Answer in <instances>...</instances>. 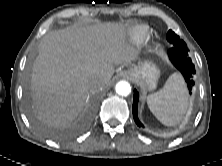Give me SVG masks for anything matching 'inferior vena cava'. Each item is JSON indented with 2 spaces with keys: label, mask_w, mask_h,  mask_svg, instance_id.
<instances>
[{
  "label": "inferior vena cava",
  "mask_w": 222,
  "mask_h": 166,
  "mask_svg": "<svg viewBox=\"0 0 222 166\" xmlns=\"http://www.w3.org/2000/svg\"><path fill=\"white\" fill-rule=\"evenodd\" d=\"M94 86L98 89L101 90L104 88V83L102 81H97L94 83Z\"/></svg>",
  "instance_id": "1"
}]
</instances>
